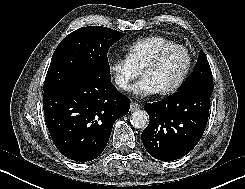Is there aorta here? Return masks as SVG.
<instances>
[{
    "label": "aorta",
    "mask_w": 245,
    "mask_h": 189,
    "mask_svg": "<svg viewBox=\"0 0 245 189\" xmlns=\"http://www.w3.org/2000/svg\"><path fill=\"white\" fill-rule=\"evenodd\" d=\"M132 125L137 129H144L149 122V116L144 110H136L131 114Z\"/></svg>",
    "instance_id": "obj_1"
}]
</instances>
